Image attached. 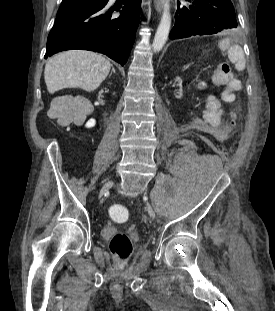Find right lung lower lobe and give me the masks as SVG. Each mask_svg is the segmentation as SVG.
Segmentation results:
<instances>
[{
	"instance_id": "obj_1",
	"label": "right lung lower lobe",
	"mask_w": 275,
	"mask_h": 311,
	"mask_svg": "<svg viewBox=\"0 0 275 311\" xmlns=\"http://www.w3.org/2000/svg\"><path fill=\"white\" fill-rule=\"evenodd\" d=\"M109 0L69 9L57 14L48 35L44 58L69 49L100 52L124 65L139 23L141 0H125L119 16L108 9Z\"/></svg>"
}]
</instances>
